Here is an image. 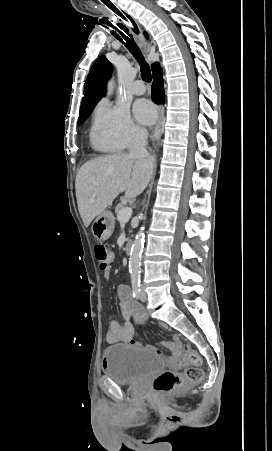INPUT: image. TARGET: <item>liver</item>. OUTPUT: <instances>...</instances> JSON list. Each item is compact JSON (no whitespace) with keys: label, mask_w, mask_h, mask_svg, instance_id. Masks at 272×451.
Segmentation results:
<instances>
[{"label":"liver","mask_w":272,"mask_h":451,"mask_svg":"<svg viewBox=\"0 0 272 451\" xmlns=\"http://www.w3.org/2000/svg\"><path fill=\"white\" fill-rule=\"evenodd\" d=\"M152 172V158H135L130 154H110L83 164L76 176L75 188L84 226H90L121 192H125L127 200L142 194Z\"/></svg>","instance_id":"1"}]
</instances>
